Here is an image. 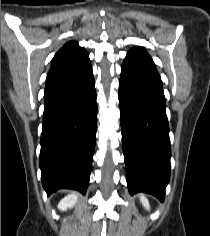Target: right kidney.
I'll return each instance as SVG.
<instances>
[{
    "mask_svg": "<svg viewBox=\"0 0 210 236\" xmlns=\"http://www.w3.org/2000/svg\"><path fill=\"white\" fill-rule=\"evenodd\" d=\"M78 200V195L76 194H70L66 197H64L60 203L58 204V209L61 211L67 210V208L73 207Z\"/></svg>",
    "mask_w": 210,
    "mask_h": 236,
    "instance_id": "obj_1",
    "label": "right kidney"
}]
</instances>
